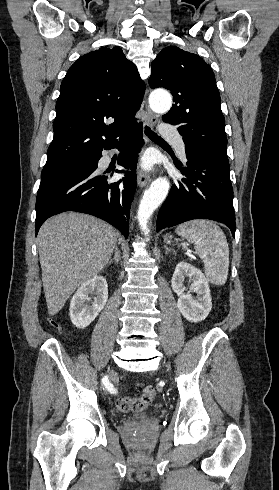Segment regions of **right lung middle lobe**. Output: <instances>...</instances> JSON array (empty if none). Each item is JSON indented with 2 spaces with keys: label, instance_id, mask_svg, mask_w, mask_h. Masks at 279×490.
<instances>
[{
  "label": "right lung middle lobe",
  "instance_id": "right-lung-middle-lobe-1",
  "mask_svg": "<svg viewBox=\"0 0 279 490\" xmlns=\"http://www.w3.org/2000/svg\"><path fill=\"white\" fill-rule=\"evenodd\" d=\"M90 158L70 160L53 164H46L41 173V184L69 176L76 173L90 171Z\"/></svg>",
  "mask_w": 279,
  "mask_h": 490
}]
</instances>
